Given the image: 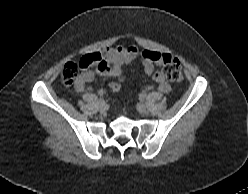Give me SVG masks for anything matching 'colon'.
<instances>
[{
  "instance_id": "colon-1",
  "label": "colon",
  "mask_w": 248,
  "mask_h": 194,
  "mask_svg": "<svg viewBox=\"0 0 248 194\" xmlns=\"http://www.w3.org/2000/svg\"><path fill=\"white\" fill-rule=\"evenodd\" d=\"M154 61L162 68V74L166 80L171 82H181L183 79V72L180 62L177 58L170 54L157 53L153 56ZM96 63V58L93 54L83 56L79 62H68L65 64L61 79L65 86L69 87L76 83L81 75V71ZM121 86L117 82L111 83L113 91L120 90Z\"/></svg>"
}]
</instances>
